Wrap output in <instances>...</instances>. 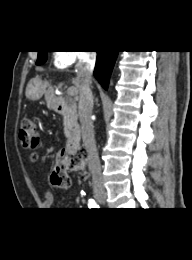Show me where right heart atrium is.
Returning <instances> with one entry per match:
<instances>
[{
  "label": "right heart atrium",
  "instance_id": "right-heart-atrium-1",
  "mask_svg": "<svg viewBox=\"0 0 192 260\" xmlns=\"http://www.w3.org/2000/svg\"><path fill=\"white\" fill-rule=\"evenodd\" d=\"M85 53L77 51L63 50L55 54V63L57 66L67 68L85 58Z\"/></svg>",
  "mask_w": 192,
  "mask_h": 260
}]
</instances>
